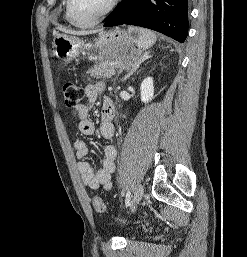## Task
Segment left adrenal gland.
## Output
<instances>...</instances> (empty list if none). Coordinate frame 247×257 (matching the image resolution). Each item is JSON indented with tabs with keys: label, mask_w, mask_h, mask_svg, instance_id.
I'll use <instances>...</instances> for the list:
<instances>
[{
	"label": "left adrenal gland",
	"mask_w": 247,
	"mask_h": 257,
	"mask_svg": "<svg viewBox=\"0 0 247 257\" xmlns=\"http://www.w3.org/2000/svg\"><path fill=\"white\" fill-rule=\"evenodd\" d=\"M151 56L149 55V52H145L142 57L132 66L130 71L125 75L122 81H126L131 75H133L136 70L139 68L140 64L144 62L145 60L149 59Z\"/></svg>",
	"instance_id": "a2214340"
}]
</instances>
